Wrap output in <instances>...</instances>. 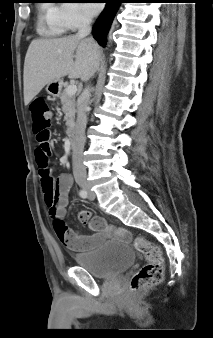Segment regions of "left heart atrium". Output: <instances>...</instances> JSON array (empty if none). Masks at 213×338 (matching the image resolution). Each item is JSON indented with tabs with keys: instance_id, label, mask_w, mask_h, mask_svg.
I'll list each match as a JSON object with an SVG mask.
<instances>
[{
	"instance_id": "39dd6f15",
	"label": "left heart atrium",
	"mask_w": 213,
	"mask_h": 338,
	"mask_svg": "<svg viewBox=\"0 0 213 338\" xmlns=\"http://www.w3.org/2000/svg\"><path fill=\"white\" fill-rule=\"evenodd\" d=\"M95 1V0H88V2ZM84 6L89 14H96L101 8L100 3H84Z\"/></svg>"
}]
</instances>
